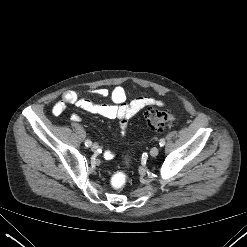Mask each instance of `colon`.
<instances>
[{"label": "colon", "mask_w": 247, "mask_h": 247, "mask_svg": "<svg viewBox=\"0 0 247 247\" xmlns=\"http://www.w3.org/2000/svg\"><path fill=\"white\" fill-rule=\"evenodd\" d=\"M176 120L175 115L155 108H149L146 112L148 126L158 132L171 127L176 123ZM127 180L128 174L126 171H117L111 176L110 183L113 188L119 189L126 184Z\"/></svg>", "instance_id": "1"}]
</instances>
